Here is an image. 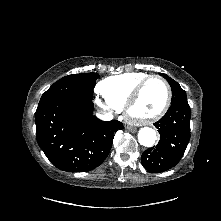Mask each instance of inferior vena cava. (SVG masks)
<instances>
[{
    "instance_id": "obj_1",
    "label": "inferior vena cava",
    "mask_w": 221,
    "mask_h": 221,
    "mask_svg": "<svg viewBox=\"0 0 221 221\" xmlns=\"http://www.w3.org/2000/svg\"><path fill=\"white\" fill-rule=\"evenodd\" d=\"M97 117L101 120L108 121L113 118V115L111 113H106L105 111L101 110L97 113Z\"/></svg>"
}]
</instances>
